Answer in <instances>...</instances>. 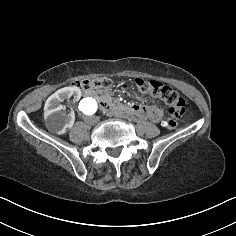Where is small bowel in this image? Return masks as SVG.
<instances>
[{"mask_svg":"<svg viewBox=\"0 0 236 236\" xmlns=\"http://www.w3.org/2000/svg\"><path fill=\"white\" fill-rule=\"evenodd\" d=\"M135 115L142 118H147L152 122H160L162 119V110L158 105H134Z\"/></svg>","mask_w":236,"mask_h":236,"instance_id":"obj_1","label":"small bowel"}]
</instances>
